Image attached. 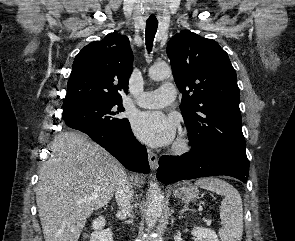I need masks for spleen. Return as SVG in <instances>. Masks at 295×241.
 Masks as SVG:
<instances>
[{"label":"spleen","mask_w":295,"mask_h":241,"mask_svg":"<svg viewBox=\"0 0 295 241\" xmlns=\"http://www.w3.org/2000/svg\"><path fill=\"white\" fill-rule=\"evenodd\" d=\"M196 186L223 195L220 205L222 228L219 230L221 241H241L243 233L242 199L231 184L219 178H202Z\"/></svg>","instance_id":"obj_1"}]
</instances>
